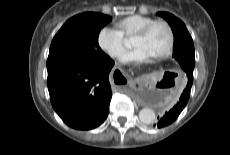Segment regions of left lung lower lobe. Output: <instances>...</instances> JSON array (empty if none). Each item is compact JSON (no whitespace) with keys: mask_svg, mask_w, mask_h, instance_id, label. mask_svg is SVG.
<instances>
[{"mask_svg":"<svg viewBox=\"0 0 230 155\" xmlns=\"http://www.w3.org/2000/svg\"><path fill=\"white\" fill-rule=\"evenodd\" d=\"M187 77H188L187 85L184 88V90L182 91L181 96H180L177 104L174 105V107L159 120L157 125H154V126L161 128V127H164V126L171 124L172 122H174L176 120V118L179 116L181 111L184 109L185 105L188 102L189 96H190V91H191L192 82H193V72L188 71ZM162 86H164V85H162Z\"/></svg>","mask_w":230,"mask_h":155,"instance_id":"0a47b994","label":"left lung lower lobe"}]
</instances>
